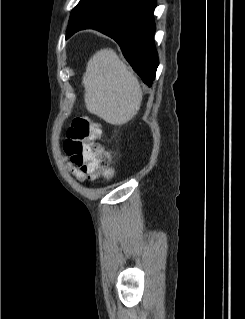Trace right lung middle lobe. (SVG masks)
Returning <instances> with one entry per match:
<instances>
[{"mask_svg": "<svg viewBox=\"0 0 245 319\" xmlns=\"http://www.w3.org/2000/svg\"><path fill=\"white\" fill-rule=\"evenodd\" d=\"M129 1L130 0H83L80 2V8L81 11L85 13L88 20L95 21L109 13L114 12ZM75 22V20L70 18L69 24Z\"/></svg>", "mask_w": 245, "mask_h": 319, "instance_id": "dd1d6c3e", "label": "right lung middle lobe"}]
</instances>
